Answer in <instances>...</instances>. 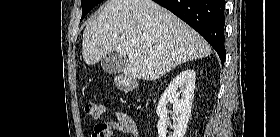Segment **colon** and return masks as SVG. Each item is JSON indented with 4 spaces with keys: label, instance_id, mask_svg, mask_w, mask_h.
<instances>
[{
    "label": "colon",
    "instance_id": "colon-1",
    "mask_svg": "<svg viewBox=\"0 0 280 137\" xmlns=\"http://www.w3.org/2000/svg\"><path fill=\"white\" fill-rule=\"evenodd\" d=\"M86 113L95 120L102 118L104 114V105L98 101L88 102L85 106Z\"/></svg>",
    "mask_w": 280,
    "mask_h": 137
}]
</instances>
